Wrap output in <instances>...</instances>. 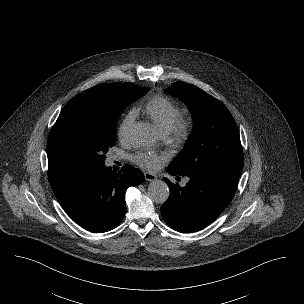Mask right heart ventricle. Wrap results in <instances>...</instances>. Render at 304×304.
<instances>
[{
    "label": "right heart ventricle",
    "mask_w": 304,
    "mask_h": 304,
    "mask_svg": "<svg viewBox=\"0 0 304 304\" xmlns=\"http://www.w3.org/2000/svg\"><path fill=\"white\" fill-rule=\"evenodd\" d=\"M144 110L163 134L169 132L173 122L180 115L178 105L162 95L149 98L144 105Z\"/></svg>",
    "instance_id": "e07e8e85"
}]
</instances>
